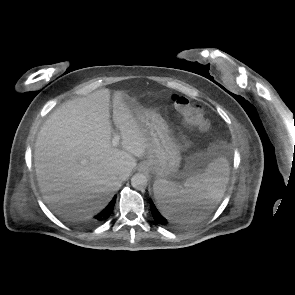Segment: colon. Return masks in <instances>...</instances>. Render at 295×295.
<instances>
[{
    "label": "colon",
    "instance_id": "1",
    "mask_svg": "<svg viewBox=\"0 0 295 295\" xmlns=\"http://www.w3.org/2000/svg\"><path fill=\"white\" fill-rule=\"evenodd\" d=\"M172 102L177 113L186 125L197 127L202 131L209 128V121L206 119L200 106L179 94L172 95Z\"/></svg>",
    "mask_w": 295,
    "mask_h": 295
}]
</instances>
